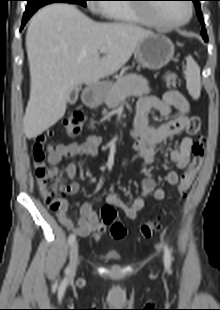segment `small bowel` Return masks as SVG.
Segmentation results:
<instances>
[{
	"label": "small bowel",
	"mask_w": 220,
	"mask_h": 310,
	"mask_svg": "<svg viewBox=\"0 0 220 310\" xmlns=\"http://www.w3.org/2000/svg\"><path fill=\"white\" fill-rule=\"evenodd\" d=\"M152 110L157 111L162 117L169 118L159 126L149 124V114ZM176 111V113H174ZM200 130V119L190 113V104L186 96L178 90H168L162 98L155 96H142L136 106V115L133 129L130 135L135 138V147L139 151V157L142 165H147L153 160V154L156 146L163 140L179 135L181 133L196 134ZM192 138L188 135L183 136L176 149L170 153V159L176 165L177 169L183 170L190 161ZM102 140L90 135L83 142H69L48 146V161L52 165H57L65 157L87 156L93 158L97 155ZM127 164V162H123ZM77 165L69 163L65 172L71 180L67 187V193L73 195L78 192L79 184L76 180ZM89 183L94 184L97 178L89 177ZM179 181V174L176 171H170L165 176V182L174 186ZM152 195L155 200H162L165 197V190L157 187L152 177H146L142 181L141 193L130 205H127L117 194H108L106 200L108 203L122 209L125 215L135 220L139 212L143 209L145 199ZM81 217L76 223H73L68 214V202L64 200L62 207L56 211L58 220L69 230L80 237H93L100 239L105 232V225L99 220L97 212L91 203H84L80 208Z\"/></svg>",
	"instance_id": "small-bowel-1"
}]
</instances>
